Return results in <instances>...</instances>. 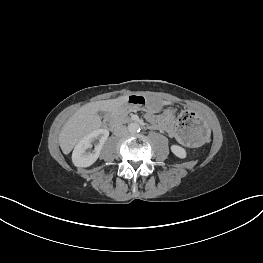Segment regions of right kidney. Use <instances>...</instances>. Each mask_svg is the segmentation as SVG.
Masks as SVG:
<instances>
[{
    "mask_svg": "<svg viewBox=\"0 0 263 263\" xmlns=\"http://www.w3.org/2000/svg\"><path fill=\"white\" fill-rule=\"evenodd\" d=\"M109 136L107 129H97L82 138L72 153V162L76 167H89L98 159L101 149ZM95 144L94 150H91Z\"/></svg>",
    "mask_w": 263,
    "mask_h": 263,
    "instance_id": "ca27d5eb",
    "label": "right kidney"
}]
</instances>
